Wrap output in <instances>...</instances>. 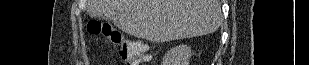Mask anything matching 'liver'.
Instances as JSON below:
<instances>
[{
    "label": "liver",
    "mask_w": 309,
    "mask_h": 65,
    "mask_svg": "<svg viewBox=\"0 0 309 65\" xmlns=\"http://www.w3.org/2000/svg\"><path fill=\"white\" fill-rule=\"evenodd\" d=\"M87 13L152 42L207 35L221 24L219 0H88Z\"/></svg>",
    "instance_id": "liver-1"
}]
</instances>
